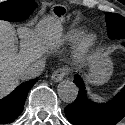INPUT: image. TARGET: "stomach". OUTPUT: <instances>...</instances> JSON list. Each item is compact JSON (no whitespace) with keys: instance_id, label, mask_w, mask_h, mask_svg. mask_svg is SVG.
<instances>
[{"instance_id":"obj_1","label":"stomach","mask_w":125,"mask_h":125,"mask_svg":"<svg viewBox=\"0 0 125 125\" xmlns=\"http://www.w3.org/2000/svg\"><path fill=\"white\" fill-rule=\"evenodd\" d=\"M56 8L59 10L56 11ZM53 13L55 17L63 22H69L70 16L67 14V9L64 7H54ZM90 73L88 75V81L92 85H102L110 79L113 70L112 61L108 53L97 50L91 56L90 60Z\"/></svg>"}]
</instances>
